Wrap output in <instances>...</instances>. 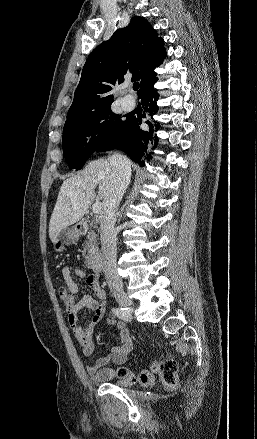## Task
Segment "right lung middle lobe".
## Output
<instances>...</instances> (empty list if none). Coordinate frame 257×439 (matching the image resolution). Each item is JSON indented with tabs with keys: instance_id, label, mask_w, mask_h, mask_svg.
Listing matches in <instances>:
<instances>
[{
	"instance_id": "right-lung-middle-lobe-1",
	"label": "right lung middle lobe",
	"mask_w": 257,
	"mask_h": 439,
	"mask_svg": "<svg viewBox=\"0 0 257 439\" xmlns=\"http://www.w3.org/2000/svg\"><path fill=\"white\" fill-rule=\"evenodd\" d=\"M127 122L128 118L120 120L110 106L66 122L62 146L69 167L81 169L98 148L122 132Z\"/></svg>"
}]
</instances>
